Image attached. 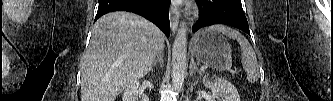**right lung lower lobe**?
Here are the masks:
<instances>
[{
    "label": "right lung lower lobe",
    "instance_id": "98d812e1",
    "mask_svg": "<svg viewBox=\"0 0 333 101\" xmlns=\"http://www.w3.org/2000/svg\"><path fill=\"white\" fill-rule=\"evenodd\" d=\"M170 0H99L95 21L113 11H128L153 22L166 36L170 35Z\"/></svg>",
    "mask_w": 333,
    "mask_h": 101
}]
</instances>
